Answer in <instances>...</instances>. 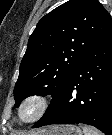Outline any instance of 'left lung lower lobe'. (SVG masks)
Segmentation results:
<instances>
[{
  "label": "left lung lower lobe",
  "instance_id": "obj_1",
  "mask_svg": "<svg viewBox=\"0 0 112 135\" xmlns=\"http://www.w3.org/2000/svg\"><path fill=\"white\" fill-rule=\"evenodd\" d=\"M78 123L112 135V25L85 55L33 127Z\"/></svg>",
  "mask_w": 112,
  "mask_h": 135
}]
</instances>
